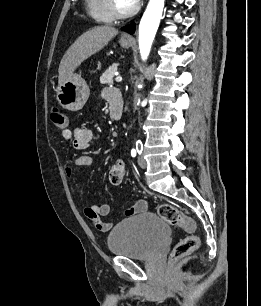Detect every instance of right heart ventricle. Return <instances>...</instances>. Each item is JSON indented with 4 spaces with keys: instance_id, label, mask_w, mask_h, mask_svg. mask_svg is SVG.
I'll return each mask as SVG.
<instances>
[{
    "instance_id": "right-heart-ventricle-1",
    "label": "right heart ventricle",
    "mask_w": 261,
    "mask_h": 306,
    "mask_svg": "<svg viewBox=\"0 0 261 306\" xmlns=\"http://www.w3.org/2000/svg\"><path fill=\"white\" fill-rule=\"evenodd\" d=\"M88 14L97 22L110 23L114 16L109 10L107 0H85Z\"/></svg>"
}]
</instances>
